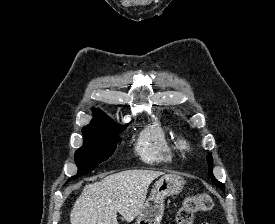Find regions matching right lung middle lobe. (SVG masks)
<instances>
[{"instance_id": "obj_1", "label": "right lung middle lobe", "mask_w": 275, "mask_h": 224, "mask_svg": "<svg viewBox=\"0 0 275 224\" xmlns=\"http://www.w3.org/2000/svg\"><path fill=\"white\" fill-rule=\"evenodd\" d=\"M125 128L115 125L105 128H85L82 130L84 143L75 153L78 173L67 180H73L92 171L103 161H106L114 152L119 133Z\"/></svg>"}]
</instances>
